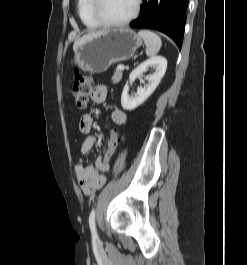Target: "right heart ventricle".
<instances>
[{
  "label": "right heart ventricle",
  "instance_id": "1",
  "mask_svg": "<svg viewBox=\"0 0 247 265\" xmlns=\"http://www.w3.org/2000/svg\"><path fill=\"white\" fill-rule=\"evenodd\" d=\"M90 6L91 0H77L78 15L82 23L89 29H97L100 25L93 18Z\"/></svg>",
  "mask_w": 247,
  "mask_h": 265
}]
</instances>
